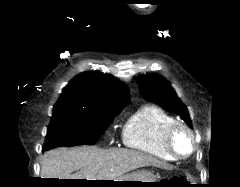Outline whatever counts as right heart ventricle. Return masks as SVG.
Masks as SVG:
<instances>
[{"label": "right heart ventricle", "mask_w": 240, "mask_h": 187, "mask_svg": "<svg viewBox=\"0 0 240 187\" xmlns=\"http://www.w3.org/2000/svg\"><path fill=\"white\" fill-rule=\"evenodd\" d=\"M175 122L163 109L154 105L143 106L125 123L123 144L161 160L175 161L165 144L166 130Z\"/></svg>", "instance_id": "e07e8e85"}]
</instances>
